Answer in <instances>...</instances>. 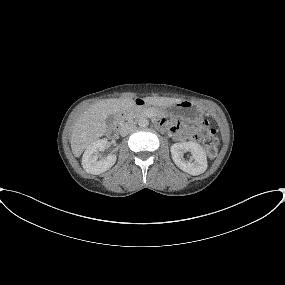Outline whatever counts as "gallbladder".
I'll list each match as a JSON object with an SVG mask.
<instances>
[{
  "label": "gallbladder",
  "mask_w": 285,
  "mask_h": 285,
  "mask_svg": "<svg viewBox=\"0 0 285 285\" xmlns=\"http://www.w3.org/2000/svg\"><path fill=\"white\" fill-rule=\"evenodd\" d=\"M115 121V116L114 115H109L107 118H106V124L107 125H112Z\"/></svg>",
  "instance_id": "bac80fb5"
}]
</instances>
